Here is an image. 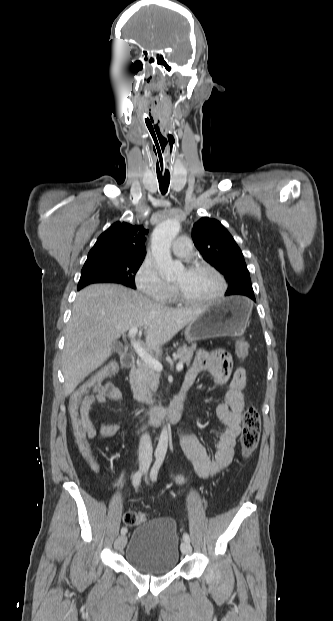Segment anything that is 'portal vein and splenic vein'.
<instances>
[{
	"mask_svg": "<svg viewBox=\"0 0 333 621\" xmlns=\"http://www.w3.org/2000/svg\"><path fill=\"white\" fill-rule=\"evenodd\" d=\"M137 332H138V328L137 327L130 328L129 332H128L130 340H131V343H132V346H133L135 352L149 366L154 368L156 371H161L163 369L162 364L156 358H154L150 354H148V352H146V350L140 345V343L137 340H135V335L137 334ZM176 370L177 371L183 370V363L179 362L176 365Z\"/></svg>",
	"mask_w": 333,
	"mask_h": 621,
	"instance_id": "obj_1",
	"label": "portal vein and splenic vein"
}]
</instances>
